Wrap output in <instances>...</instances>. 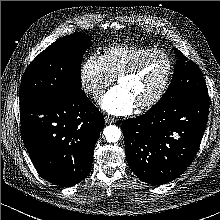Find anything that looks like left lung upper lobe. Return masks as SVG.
<instances>
[{
    "instance_id": "1",
    "label": "left lung upper lobe",
    "mask_w": 220,
    "mask_h": 220,
    "mask_svg": "<svg viewBox=\"0 0 220 220\" xmlns=\"http://www.w3.org/2000/svg\"><path fill=\"white\" fill-rule=\"evenodd\" d=\"M177 61L170 86L154 107L196 95L208 94L204 77L198 66L175 49Z\"/></svg>"
}]
</instances>
